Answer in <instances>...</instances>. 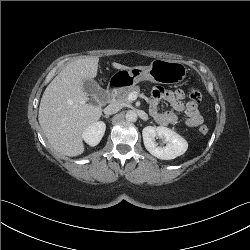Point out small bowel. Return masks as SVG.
I'll return each instance as SVG.
<instances>
[{
  "label": "small bowel",
  "instance_id": "c3829d8e",
  "mask_svg": "<svg viewBox=\"0 0 250 250\" xmlns=\"http://www.w3.org/2000/svg\"><path fill=\"white\" fill-rule=\"evenodd\" d=\"M186 93L183 90H165L162 87L153 89L149 103L150 113L155 121L161 125H175L178 117L174 111L183 112L185 115L184 124L187 127L194 128L203 122L197 104L194 102H185ZM168 102L174 111H159V103Z\"/></svg>",
  "mask_w": 250,
  "mask_h": 250
}]
</instances>
